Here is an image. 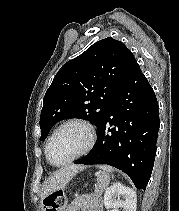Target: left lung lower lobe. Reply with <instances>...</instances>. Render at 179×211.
<instances>
[{"label": "left lung lower lobe", "mask_w": 179, "mask_h": 211, "mask_svg": "<svg viewBox=\"0 0 179 211\" xmlns=\"http://www.w3.org/2000/svg\"><path fill=\"white\" fill-rule=\"evenodd\" d=\"M159 130L155 93L135 58L114 93L92 151L76 164H107L146 189L154 165Z\"/></svg>", "instance_id": "0a47b994"}]
</instances>
